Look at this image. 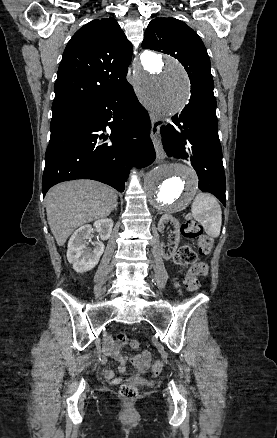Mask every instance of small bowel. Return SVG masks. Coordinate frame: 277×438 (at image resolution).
Here are the masks:
<instances>
[{"label":"small bowel","instance_id":"c3829d8e","mask_svg":"<svg viewBox=\"0 0 277 438\" xmlns=\"http://www.w3.org/2000/svg\"><path fill=\"white\" fill-rule=\"evenodd\" d=\"M110 341H113V338H110ZM124 347V344L122 342H118L116 344V346L112 343V342H105L104 343V348L106 350H104L103 355L106 358H113L115 357L119 363H120V370L121 371H125L126 366H125V358L123 356H121L118 353V349H122ZM118 348V349H117ZM130 362L132 364V366L139 372L142 373L143 371H145V369L147 368L149 362H150V353L147 351L142 352L139 355L136 356H132L130 358ZM100 365L102 367H105L107 365V362L105 360H102L100 362ZM105 377L107 379H114L115 378V374L113 371H106L105 372Z\"/></svg>","mask_w":277,"mask_h":438}]
</instances>
